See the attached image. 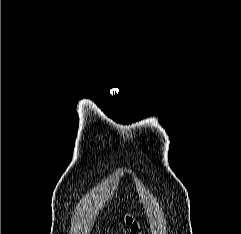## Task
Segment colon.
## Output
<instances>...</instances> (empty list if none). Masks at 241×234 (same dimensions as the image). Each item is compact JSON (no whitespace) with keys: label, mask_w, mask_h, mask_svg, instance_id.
I'll list each match as a JSON object with an SVG mask.
<instances>
[{"label":"colon","mask_w":241,"mask_h":234,"mask_svg":"<svg viewBox=\"0 0 241 234\" xmlns=\"http://www.w3.org/2000/svg\"><path fill=\"white\" fill-rule=\"evenodd\" d=\"M127 222L130 225V228L132 231H134V232L138 231V225L132 218H128ZM138 234H141V233H138Z\"/></svg>","instance_id":"obj_1"}]
</instances>
